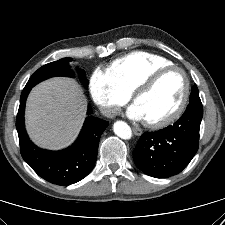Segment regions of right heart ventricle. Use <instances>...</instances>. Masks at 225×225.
<instances>
[{
	"label": "right heart ventricle",
	"mask_w": 225,
	"mask_h": 225,
	"mask_svg": "<svg viewBox=\"0 0 225 225\" xmlns=\"http://www.w3.org/2000/svg\"><path fill=\"white\" fill-rule=\"evenodd\" d=\"M169 65L172 62L162 56L134 51L116 59L108 72L124 92L132 94L151 73Z\"/></svg>",
	"instance_id": "e07e8e85"
}]
</instances>
